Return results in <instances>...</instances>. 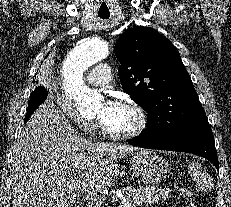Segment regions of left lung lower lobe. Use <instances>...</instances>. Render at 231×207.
Wrapping results in <instances>:
<instances>
[{"label":"left lung lower lobe","instance_id":"obj_1","mask_svg":"<svg viewBox=\"0 0 231 207\" xmlns=\"http://www.w3.org/2000/svg\"><path fill=\"white\" fill-rule=\"evenodd\" d=\"M128 143L150 149L193 153L206 158L219 170L215 141L209 125L194 126L164 140L150 139L140 134Z\"/></svg>","mask_w":231,"mask_h":207}]
</instances>
